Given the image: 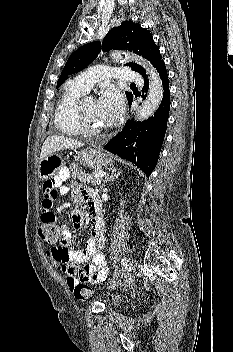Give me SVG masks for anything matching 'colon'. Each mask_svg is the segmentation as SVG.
Masks as SVG:
<instances>
[{"instance_id": "colon-1", "label": "colon", "mask_w": 233, "mask_h": 352, "mask_svg": "<svg viewBox=\"0 0 233 352\" xmlns=\"http://www.w3.org/2000/svg\"><path fill=\"white\" fill-rule=\"evenodd\" d=\"M39 235L41 238L52 246H60L65 243V238L62 230L52 224H42L39 229ZM72 292L74 296L79 300H86L91 295V290L89 286L84 283H78L73 289Z\"/></svg>"}]
</instances>
